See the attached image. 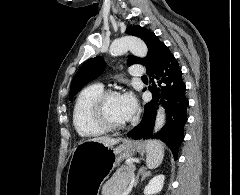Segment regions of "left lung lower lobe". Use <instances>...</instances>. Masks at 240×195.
I'll return each mask as SVG.
<instances>
[{"mask_svg":"<svg viewBox=\"0 0 240 195\" xmlns=\"http://www.w3.org/2000/svg\"><path fill=\"white\" fill-rule=\"evenodd\" d=\"M152 86L148 89L153 99L144 105L141 122L127 136L133 139L157 138L171 149L174 159H178L179 147L184 137V126L187 122L188 99L182 72L172 53L149 74ZM156 80V82L154 81ZM166 108V123L154 136L153 129L158 103Z\"/></svg>","mask_w":240,"mask_h":195,"instance_id":"0a47b994","label":"left lung lower lobe"}]
</instances>
